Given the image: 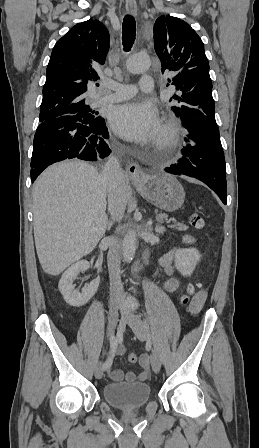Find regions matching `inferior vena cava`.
I'll list each match as a JSON object with an SVG mask.
<instances>
[{
	"label": "inferior vena cava",
	"mask_w": 259,
	"mask_h": 448,
	"mask_svg": "<svg viewBox=\"0 0 259 448\" xmlns=\"http://www.w3.org/2000/svg\"><path fill=\"white\" fill-rule=\"evenodd\" d=\"M102 184H105L108 196V210L114 222H120L127 206L126 182L119 160L111 156L100 174ZM109 252L107 256L111 302L124 300L123 286L121 284L120 254L121 248L118 240H108Z\"/></svg>",
	"instance_id": "obj_1"
}]
</instances>
